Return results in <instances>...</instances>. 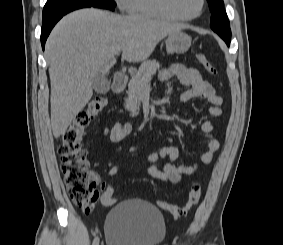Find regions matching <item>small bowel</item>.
<instances>
[{"mask_svg": "<svg viewBox=\"0 0 283 245\" xmlns=\"http://www.w3.org/2000/svg\"><path fill=\"white\" fill-rule=\"evenodd\" d=\"M172 78L177 79L188 89L181 94V101L199 98L205 99L209 104V114L213 117L222 115V98L216 93L210 82L205 80L200 72L184 64H174L159 73L161 82H167ZM202 131L208 139L207 150L201 155L199 161L187 166H178L174 161L179 156L178 148L174 146H165L158 152L147 156L145 173L151 177L169 183H178L183 175H192L196 173L201 166L212 162L214 153L219 149V141L214 137L215 125L211 121L203 122ZM133 130V125L129 122L115 123L111 128L105 127L102 135L107 136L113 143L119 142L128 136ZM162 165V169L160 166ZM120 166H112L108 170L109 176H115L120 172ZM96 182H99L97 175H92Z\"/></svg>", "mask_w": 283, "mask_h": 245, "instance_id": "obj_1", "label": "small bowel"}]
</instances>
